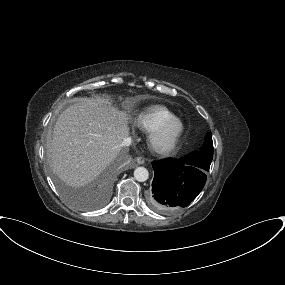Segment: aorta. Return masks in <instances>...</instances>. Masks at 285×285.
I'll return each mask as SVG.
<instances>
[{"instance_id":"762f6f07","label":"aorta","mask_w":285,"mask_h":285,"mask_svg":"<svg viewBox=\"0 0 285 285\" xmlns=\"http://www.w3.org/2000/svg\"><path fill=\"white\" fill-rule=\"evenodd\" d=\"M134 178L139 182H145L149 178V172L145 167H137L134 170Z\"/></svg>"}]
</instances>
